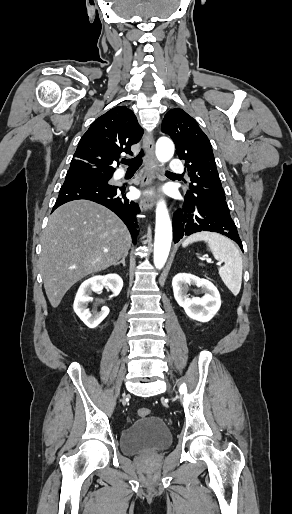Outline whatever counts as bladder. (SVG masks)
<instances>
[{
    "label": "bladder",
    "mask_w": 292,
    "mask_h": 514,
    "mask_svg": "<svg viewBox=\"0 0 292 514\" xmlns=\"http://www.w3.org/2000/svg\"><path fill=\"white\" fill-rule=\"evenodd\" d=\"M171 432L157 416L141 417L127 426L120 436V448L127 455L161 450L170 445Z\"/></svg>",
    "instance_id": "bladder-1"
}]
</instances>
